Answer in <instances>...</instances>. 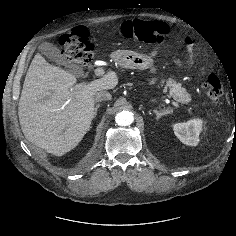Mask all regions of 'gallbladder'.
Listing matches in <instances>:
<instances>
[{
	"label": "gallbladder",
	"instance_id": "obj_1",
	"mask_svg": "<svg viewBox=\"0 0 236 236\" xmlns=\"http://www.w3.org/2000/svg\"><path fill=\"white\" fill-rule=\"evenodd\" d=\"M39 51L50 61L57 65L64 66L69 73L75 76L82 75V68L77 64L68 62L55 45L43 42L39 46Z\"/></svg>",
	"mask_w": 236,
	"mask_h": 236
}]
</instances>
